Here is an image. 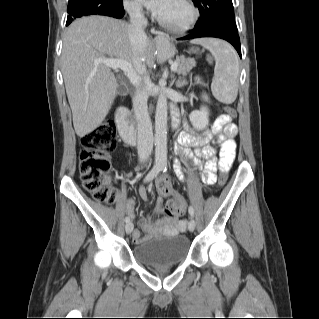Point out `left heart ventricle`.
<instances>
[{"instance_id": "obj_1", "label": "left heart ventricle", "mask_w": 319, "mask_h": 319, "mask_svg": "<svg viewBox=\"0 0 319 319\" xmlns=\"http://www.w3.org/2000/svg\"><path fill=\"white\" fill-rule=\"evenodd\" d=\"M188 14V9L181 0H169L165 10L159 17L166 21L177 23L185 20Z\"/></svg>"}]
</instances>
